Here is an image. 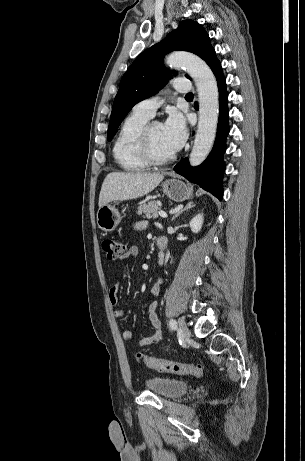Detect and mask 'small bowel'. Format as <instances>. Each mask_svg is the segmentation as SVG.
Instances as JSON below:
<instances>
[{"label":"small bowel","instance_id":"1","mask_svg":"<svg viewBox=\"0 0 305 461\" xmlns=\"http://www.w3.org/2000/svg\"><path fill=\"white\" fill-rule=\"evenodd\" d=\"M142 227H144V224L138 225V228H142ZM138 253H139V248L137 246H131L124 252L122 257L119 258V260L120 261L128 260L130 258L136 257ZM159 263L163 264L162 258L159 259ZM121 284H122V280H118L110 288V291H109V301L113 307V313L117 318H123L125 316V310L118 305L117 293L119 291ZM161 285H162V281L159 280L151 288V296L153 300L151 301L148 307V316L151 322V329L148 332V334L142 339L136 340L133 331L130 329H127L123 332L124 340L128 342H134L135 345L138 347H143V346L152 345V344H159L162 341L163 335H162L161 323L158 317V302L154 300L161 293Z\"/></svg>","mask_w":305,"mask_h":461}]
</instances>
